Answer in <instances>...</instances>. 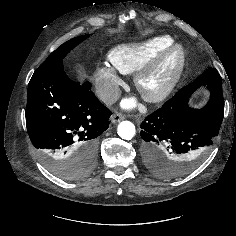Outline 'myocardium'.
<instances>
[{
  "instance_id": "myocardium-1",
  "label": "myocardium",
  "mask_w": 236,
  "mask_h": 236,
  "mask_svg": "<svg viewBox=\"0 0 236 236\" xmlns=\"http://www.w3.org/2000/svg\"><path fill=\"white\" fill-rule=\"evenodd\" d=\"M174 62V68L169 80L157 90H149L146 79L166 60ZM185 52L180 45H172L159 52L140 67L134 75V84L142 97L152 103L161 102L169 97L179 84L185 68Z\"/></svg>"
}]
</instances>
